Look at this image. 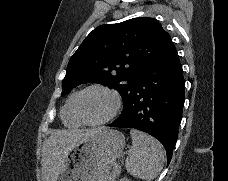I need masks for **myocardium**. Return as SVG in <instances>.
I'll use <instances>...</instances> for the list:
<instances>
[{"mask_svg": "<svg viewBox=\"0 0 228 181\" xmlns=\"http://www.w3.org/2000/svg\"><path fill=\"white\" fill-rule=\"evenodd\" d=\"M91 90L102 91V92L106 93L107 95H109V97L111 98V105L102 117H100L99 119L94 120V121H87L80 114L79 101H80L81 96L84 93L91 91ZM121 106H122V99H121L120 94L116 90H114L111 87L106 86V85L89 86L86 89L82 90L76 96L75 101H74V109H75V112H76V115L78 116V118L83 123H85L87 125H91V126H96V125H100V124L107 122L108 120L113 118L119 112Z\"/></svg>", "mask_w": 228, "mask_h": 181, "instance_id": "1", "label": "myocardium"}]
</instances>
